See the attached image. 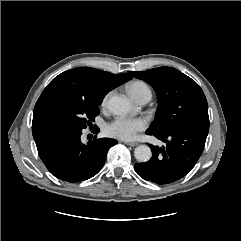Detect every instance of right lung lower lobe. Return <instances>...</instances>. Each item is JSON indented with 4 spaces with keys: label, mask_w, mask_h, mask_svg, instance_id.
Listing matches in <instances>:
<instances>
[{
    "label": "right lung lower lobe",
    "mask_w": 241,
    "mask_h": 241,
    "mask_svg": "<svg viewBox=\"0 0 241 241\" xmlns=\"http://www.w3.org/2000/svg\"><path fill=\"white\" fill-rule=\"evenodd\" d=\"M33 132L38 153L47 169L58 179L80 182L96 175L116 140L100 138L81 142L82 129L56 126Z\"/></svg>",
    "instance_id": "obj_1"
}]
</instances>
